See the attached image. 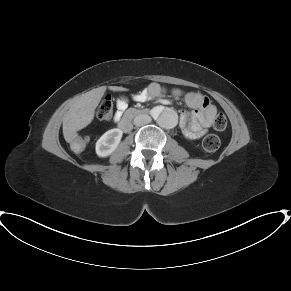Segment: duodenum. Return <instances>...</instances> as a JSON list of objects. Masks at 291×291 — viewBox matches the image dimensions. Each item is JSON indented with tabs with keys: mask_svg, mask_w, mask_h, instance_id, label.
<instances>
[{
	"mask_svg": "<svg viewBox=\"0 0 291 291\" xmlns=\"http://www.w3.org/2000/svg\"><path fill=\"white\" fill-rule=\"evenodd\" d=\"M150 109H139V108H130L125 111L120 123L119 128L123 132H128L130 130V120L136 116L148 115Z\"/></svg>",
	"mask_w": 291,
	"mask_h": 291,
	"instance_id": "obj_1",
	"label": "duodenum"
}]
</instances>
